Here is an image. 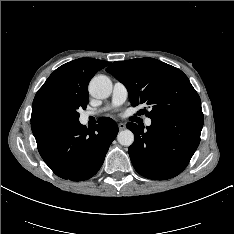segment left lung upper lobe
Masks as SVG:
<instances>
[{"label": "left lung upper lobe", "mask_w": 234, "mask_h": 234, "mask_svg": "<svg viewBox=\"0 0 234 234\" xmlns=\"http://www.w3.org/2000/svg\"><path fill=\"white\" fill-rule=\"evenodd\" d=\"M106 71L125 84L133 106L152 108L146 112L151 120L202 111L199 95L187 76L169 64L145 57L116 61Z\"/></svg>", "instance_id": "left-lung-upper-lobe-1"}]
</instances>
